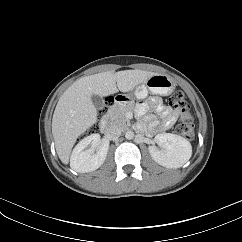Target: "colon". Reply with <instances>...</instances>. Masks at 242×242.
I'll list each match as a JSON object with an SVG mask.
<instances>
[{
    "label": "colon",
    "mask_w": 242,
    "mask_h": 242,
    "mask_svg": "<svg viewBox=\"0 0 242 242\" xmlns=\"http://www.w3.org/2000/svg\"><path fill=\"white\" fill-rule=\"evenodd\" d=\"M113 103V98H109L106 106L100 112L103 115L107 107ZM169 104L174 107L177 111L181 112L183 116L177 126V132L188 138L193 139L194 137V124L192 117L188 114V104L182 91H175L169 98Z\"/></svg>",
    "instance_id": "obj_1"
}]
</instances>
